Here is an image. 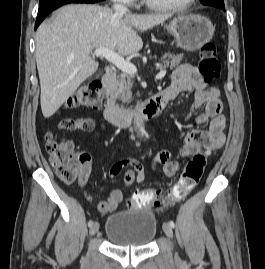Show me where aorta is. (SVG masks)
<instances>
[{"mask_svg": "<svg viewBox=\"0 0 265 269\" xmlns=\"http://www.w3.org/2000/svg\"><path fill=\"white\" fill-rule=\"evenodd\" d=\"M136 125H137L138 129L140 130L141 134H144V132H145L144 126L142 124V119L139 115L136 116Z\"/></svg>", "mask_w": 265, "mask_h": 269, "instance_id": "762f6f07", "label": "aorta"}]
</instances>
